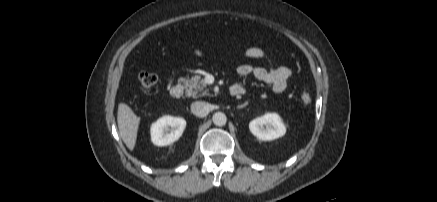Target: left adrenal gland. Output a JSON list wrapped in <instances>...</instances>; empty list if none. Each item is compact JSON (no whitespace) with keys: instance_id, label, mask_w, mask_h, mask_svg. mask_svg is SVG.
<instances>
[{"instance_id":"1","label":"left adrenal gland","mask_w":437,"mask_h":202,"mask_svg":"<svg viewBox=\"0 0 437 202\" xmlns=\"http://www.w3.org/2000/svg\"><path fill=\"white\" fill-rule=\"evenodd\" d=\"M246 105H247V103H244V104H242V105H239L237 108H238V109H241V108H244Z\"/></svg>"}]
</instances>
